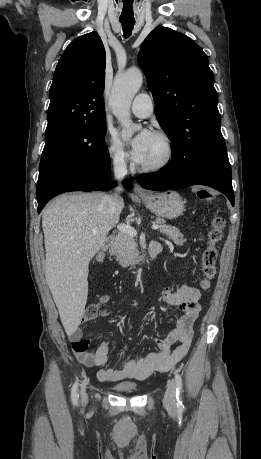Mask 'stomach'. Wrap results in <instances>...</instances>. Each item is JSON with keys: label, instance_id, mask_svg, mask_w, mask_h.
Segmentation results:
<instances>
[{"label": "stomach", "instance_id": "0dacf381", "mask_svg": "<svg viewBox=\"0 0 261 459\" xmlns=\"http://www.w3.org/2000/svg\"><path fill=\"white\" fill-rule=\"evenodd\" d=\"M142 200L148 209L162 218L176 219L185 210L183 199L176 191L150 193Z\"/></svg>", "mask_w": 261, "mask_h": 459}]
</instances>
